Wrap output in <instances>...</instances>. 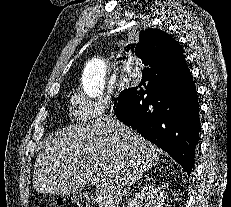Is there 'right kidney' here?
Segmentation results:
<instances>
[{
    "label": "right kidney",
    "mask_w": 231,
    "mask_h": 207,
    "mask_svg": "<svg viewBox=\"0 0 231 207\" xmlns=\"http://www.w3.org/2000/svg\"><path fill=\"white\" fill-rule=\"evenodd\" d=\"M163 207L164 192L153 184H148L135 194L127 207Z\"/></svg>",
    "instance_id": "obj_1"
}]
</instances>
